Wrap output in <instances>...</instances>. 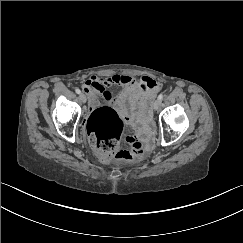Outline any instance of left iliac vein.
<instances>
[{
	"label": "left iliac vein",
	"mask_w": 243,
	"mask_h": 243,
	"mask_svg": "<svg viewBox=\"0 0 243 243\" xmlns=\"http://www.w3.org/2000/svg\"><path fill=\"white\" fill-rule=\"evenodd\" d=\"M160 105H161V101L158 100V99L155 100L154 103H153V109H154V110H158L159 107H160Z\"/></svg>",
	"instance_id": "left-iliac-vein-1"
}]
</instances>
